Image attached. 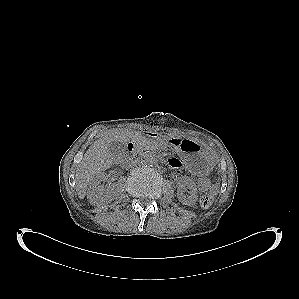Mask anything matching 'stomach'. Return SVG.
<instances>
[{"label":"stomach","mask_w":299,"mask_h":299,"mask_svg":"<svg viewBox=\"0 0 299 299\" xmlns=\"http://www.w3.org/2000/svg\"><path fill=\"white\" fill-rule=\"evenodd\" d=\"M160 142L181 153L185 164L190 170L196 173H204L209 169L211 165L210 154L198 141L191 138L166 136Z\"/></svg>","instance_id":"stomach-1"}]
</instances>
